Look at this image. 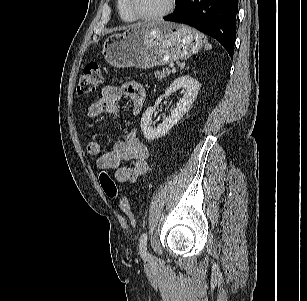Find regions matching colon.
<instances>
[{
    "label": "colon",
    "instance_id": "obj_1",
    "mask_svg": "<svg viewBox=\"0 0 307 301\" xmlns=\"http://www.w3.org/2000/svg\"><path fill=\"white\" fill-rule=\"evenodd\" d=\"M104 69L97 63H88L80 76L77 86V92L80 95L93 94L103 80ZM100 184L105 194L113 199H117L119 205L129 222L134 225L135 213L126 196L120 193L115 181L108 172L102 171L100 173Z\"/></svg>",
    "mask_w": 307,
    "mask_h": 301
}]
</instances>
